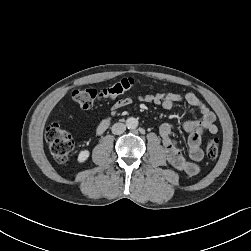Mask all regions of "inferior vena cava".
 Listing matches in <instances>:
<instances>
[{
    "label": "inferior vena cava",
    "instance_id": "602c4592",
    "mask_svg": "<svg viewBox=\"0 0 251 251\" xmlns=\"http://www.w3.org/2000/svg\"><path fill=\"white\" fill-rule=\"evenodd\" d=\"M126 130V125L123 123H115L112 126V133L115 135H120Z\"/></svg>",
    "mask_w": 251,
    "mask_h": 251
}]
</instances>
